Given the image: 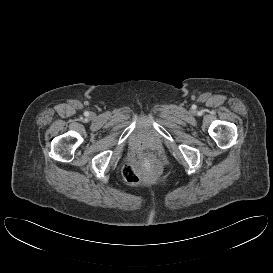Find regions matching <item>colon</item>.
Returning <instances> with one entry per match:
<instances>
[{
	"label": "colon",
	"mask_w": 273,
	"mask_h": 273,
	"mask_svg": "<svg viewBox=\"0 0 273 273\" xmlns=\"http://www.w3.org/2000/svg\"><path fill=\"white\" fill-rule=\"evenodd\" d=\"M142 164L149 173H156L159 170V163L153 156L142 158ZM123 176L129 183L135 184L140 181V177L132 165H126L123 169Z\"/></svg>",
	"instance_id": "colon-1"
}]
</instances>
